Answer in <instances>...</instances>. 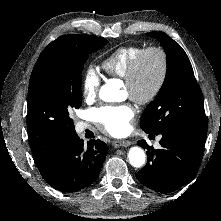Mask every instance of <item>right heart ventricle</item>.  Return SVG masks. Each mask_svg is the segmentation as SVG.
Instances as JSON below:
<instances>
[{
  "label": "right heart ventricle",
  "mask_w": 221,
  "mask_h": 221,
  "mask_svg": "<svg viewBox=\"0 0 221 221\" xmlns=\"http://www.w3.org/2000/svg\"><path fill=\"white\" fill-rule=\"evenodd\" d=\"M143 49L138 45L119 47L103 59L102 68L108 75L124 79L130 66Z\"/></svg>",
  "instance_id": "right-heart-ventricle-1"
}]
</instances>
